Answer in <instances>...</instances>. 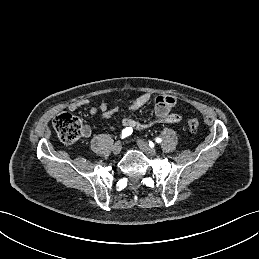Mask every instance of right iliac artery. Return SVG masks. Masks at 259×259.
Listing matches in <instances>:
<instances>
[{"instance_id": "obj_1", "label": "right iliac artery", "mask_w": 259, "mask_h": 259, "mask_svg": "<svg viewBox=\"0 0 259 259\" xmlns=\"http://www.w3.org/2000/svg\"><path fill=\"white\" fill-rule=\"evenodd\" d=\"M133 130L131 128H125L121 133V138L124 139L127 136L131 135Z\"/></svg>"}]
</instances>
